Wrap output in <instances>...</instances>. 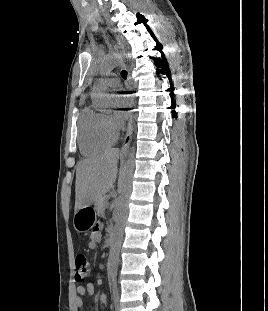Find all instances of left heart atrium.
<instances>
[{
	"mask_svg": "<svg viewBox=\"0 0 268 311\" xmlns=\"http://www.w3.org/2000/svg\"><path fill=\"white\" fill-rule=\"evenodd\" d=\"M115 97H126V95H124V94H116ZM128 104H130V103H129V102H119V103H118V105H128ZM119 116H120L121 118H124V117H125V114L119 113Z\"/></svg>",
	"mask_w": 268,
	"mask_h": 311,
	"instance_id": "39dd6f15",
	"label": "left heart atrium"
}]
</instances>
